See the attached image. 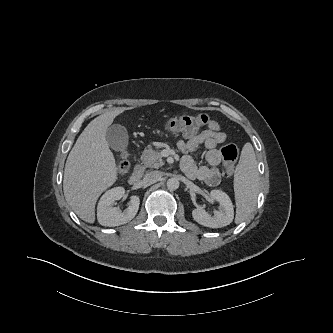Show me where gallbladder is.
Instances as JSON below:
<instances>
[{
	"mask_svg": "<svg viewBox=\"0 0 333 333\" xmlns=\"http://www.w3.org/2000/svg\"><path fill=\"white\" fill-rule=\"evenodd\" d=\"M128 132L120 124H113L108 127L106 140L114 151H124L128 146Z\"/></svg>",
	"mask_w": 333,
	"mask_h": 333,
	"instance_id": "bac80fb5",
	"label": "gallbladder"
}]
</instances>
